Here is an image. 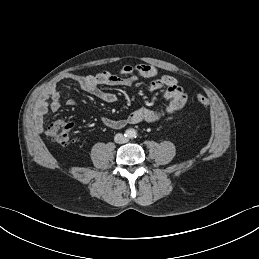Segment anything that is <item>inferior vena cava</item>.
I'll list each match as a JSON object with an SVG mask.
<instances>
[{
    "instance_id": "obj_1",
    "label": "inferior vena cava",
    "mask_w": 259,
    "mask_h": 259,
    "mask_svg": "<svg viewBox=\"0 0 259 259\" xmlns=\"http://www.w3.org/2000/svg\"><path fill=\"white\" fill-rule=\"evenodd\" d=\"M114 141L116 143L123 144V143L128 142V138H126L123 134L118 133V134L115 135Z\"/></svg>"
}]
</instances>
